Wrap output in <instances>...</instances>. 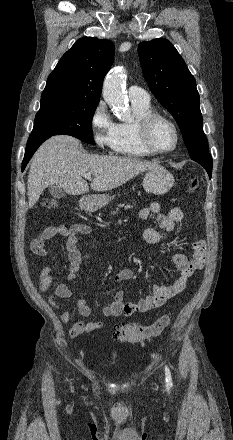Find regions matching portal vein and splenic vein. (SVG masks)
Returning <instances> with one entry per match:
<instances>
[{
  "mask_svg": "<svg viewBox=\"0 0 233 440\" xmlns=\"http://www.w3.org/2000/svg\"><path fill=\"white\" fill-rule=\"evenodd\" d=\"M84 177H85L86 179H91V174L87 173V174L84 175Z\"/></svg>",
  "mask_w": 233,
  "mask_h": 440,
  "instance_id": "1",
  "label": "portal vein and splenic vein"
}]
</instances>
